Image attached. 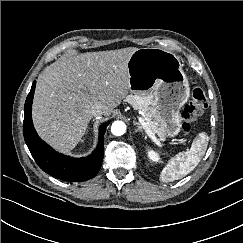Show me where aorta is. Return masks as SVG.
I'll return each mask as SVG.
<instances>
[{"label":"aorta","mask_w":243,"mask_h":243,"mask_svg":"<svg viewBox=\"0 0 243 243\" xmlns=\"http://www.w3.org/2000/svg\"><path fill=\"white\" fill-rule=\"evenodd\" d=\"M111 132L115 136H121L126 132V125L122 121H115L111 126Z\"/></svg>","instance_id":"762f6f07"}]
</instances>
